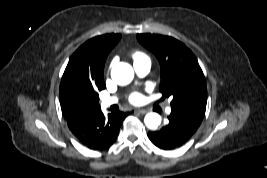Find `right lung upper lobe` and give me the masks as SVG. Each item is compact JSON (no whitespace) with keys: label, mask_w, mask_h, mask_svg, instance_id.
<instances>
[{"label":"right lung upper lobe","mask_w":267,"mask_h":178,"mask_svg":"<svg viewBox=\"0 0 267 178\" xmlns=\"http://www.w3.org/2000/svg\"><path fill=\"white\" fill-rule=\"evenodd\" d=\"M120 34L94 37L81 45L71 56L60 84V103L63 115L82 110L67 105V90L78 83L89 84L95 89H104L103 71L111 49L120 40Z\"/></svg>","instance_id":"obj_1"}]
</instances>
